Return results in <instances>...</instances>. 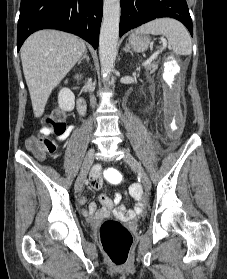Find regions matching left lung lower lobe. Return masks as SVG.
Instances as JSON below:
<instances>
[{
	"instance_id": "1",
	"label": "left lung lower lobe",
	"mask_w": 227,
	"mask_h": 279,
	"mask_svg": "<svg viewBox=\"0 0 227 279\" xmlns=\"http://www.w3.org/2000/svg\"><path fill=\"white\" fill-rule=\"evenodd\" d=\"M161 17L179 20L193 36L192 20L186 0H121L119 36Z\"/></svg>"
}]
</instances>
